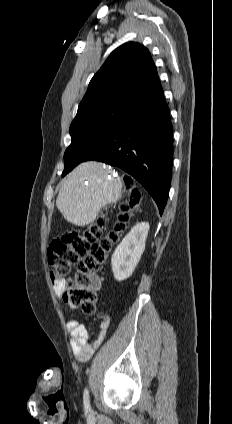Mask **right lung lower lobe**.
Instances as JSON below:
<instances>
[{
    "label": "right lung lower lobe",
    "mask_w": 232,
    "mask_h": 424,
    "mask_svg": "<svg viewBox=\"0 0 232 424\" xmlns=\"http://www.w3.org/2000/svg\"><path fill=\"white\" fill-rule=\"evenodd\" d=\"M173 128L163 90L132 105L125 124L107 136L84 161L97 160L132 175L162 215L171 183Z\"/></svg>",
    "instance_id": "right-lung-lower-lobe-1"
}]
</instances>
